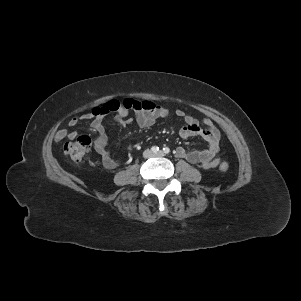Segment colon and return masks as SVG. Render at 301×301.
I'll list each match as a JSON object with an SVG mask.
<instances>
[{
    "instance_id": "obj_1",
    "label": "colon",
    "mask_w": 301,
    "mask_h": 301,
    "mask_svg": "<svg viewBox=\"0 0 301 301\" xmlns=\"http://www.w3.org/2000/svg\"><path fill=\"white\" fill-rule=\"evenodd\" d=\"M125 101L120 102L117 100H112L104 104L102 107L93 109L94 114H105L109 112H118L121 108L126 107ZM146 107V105L140 104L138 102H133L130 107ZM91 147V139L86 135H80L72 141L66 142L63 146L64 155L73 161L74 163H82L87 157ZM219 169L222 172L229 170V164L227 162H222L219 165Z\"/></svg>"
}]
</instances>
